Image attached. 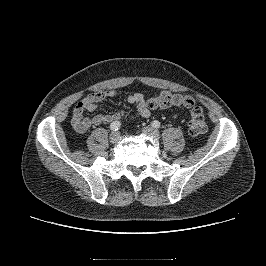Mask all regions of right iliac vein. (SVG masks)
<instances>
[{"mask_svg": "<svg viewBox=\"0 0 266 266\" xmlns=\"http://www.w3.org/2000/svg\"><path fill=\"white\" fill-rule=\"evenodd\" d=\"M120 139V133L119 132H112L109 136V140L111 143H117Z\"/></svg>", "mask_w": 266, "mask_h": 266, "instance_id": "right-iliac-vein-1", "label": "right iliac vein"}]
</instances>
